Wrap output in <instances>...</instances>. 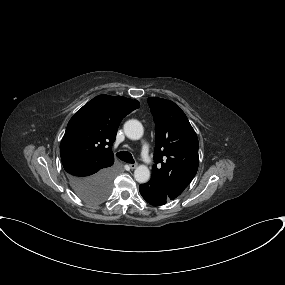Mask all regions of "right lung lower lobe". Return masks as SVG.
<instances>
[{
  "label": "right lung lower lobe",
  "instance_id": "1",
  "mask_svg": "<svg viewBox=\"0 0 285 285\" xmlns=\"http://www.w3.org/2000/svg\"><path fill=\"white\" fill-rule=\"evenodd\" d=\"M114 175L115 169L112 165L101 169L86 166L67 172L70 186L77 195L93 189L111 191Z\"/></svg>",
  "mask_w": 285,
  "mask_h": 285
}]
</instances>
